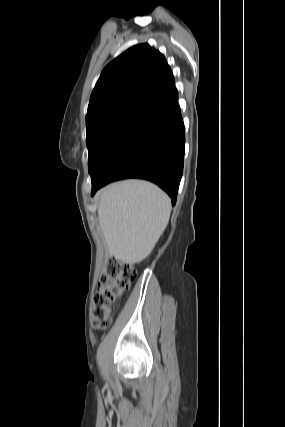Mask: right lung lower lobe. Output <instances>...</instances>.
<instances>
[{
    "label": "right lung lower lobe",
    "mask_w": 285,
    "mask_h": 427,
    "mask_svg": "<svg viewBox=\"0 0 285 427\" xmlns=\"http://www.w3.org/2000/svg\"><path fill=\"white\" fill-rule=\"evenodd\" d=\"M184 124L174 86L152 102L91 179L92 192L125 178L154 182L176 203L183 173Z\"/></svg>",
    "instance_id": "obj_1"
}]
</instances>
